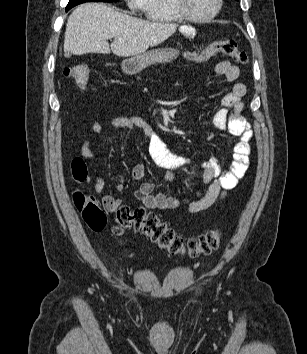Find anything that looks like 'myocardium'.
<instances>
[{"mask_svg":"<svg viewBox=\"0 0 307 354\" xmlns=\"http://www.w3.org/2000/svg\"><path fill=\"white\" fill-rule=\"evenodd\" d=\"M175 7L179 14L186 20L194 22H208L214 19L222 9L223 0H217V5L215 10L206 16H196L189 12L187 8V0H174Z\"/></svg>","mask_w":307,"mask_h":354,"instance_id":"1","label":"myocardium"}]
</instances>
